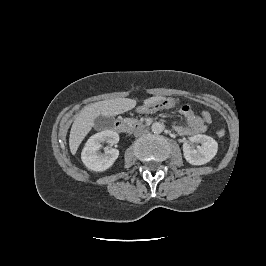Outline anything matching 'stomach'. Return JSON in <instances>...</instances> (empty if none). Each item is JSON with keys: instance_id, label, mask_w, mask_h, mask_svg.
I'll return each mask as SVG.
<instances>
[{"instance_id": "obj_1", "label": "stomach", "mask_w": 266, "mask_h": 266, "mask_svg": "<svg viewBox=\"0 0 266 266\" xmlns=\"http://www.w3.org/2000/svg\"><path fill=\"white\" fill-rule=\"evenodd\" d=\"M169 105H171V101L168 99H163L158 102L145 104L141 109L144 112L153 113V112L158 111L161 108L169 107Z\"/></svg>"}]
</instances>
